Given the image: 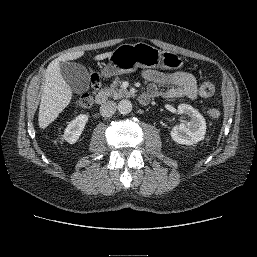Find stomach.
<instances>
[{"label": "stomach", "instance_id": "0dacf381", "mask_svg": "<svg viewBox=\"0 0 257 257\" xmlns=\"http://www.w3.org/2000/svg\"><path fill=\"white\" fill-rule=\"evenodd\" d=\"M183 59L175 53L161 51L146 43L123 44L117 47L109 57L102 73L104 76L131 73L141 68L164 67L180 69Z\"/></svg>", "mask_w": 257, "mask_h": 257}]
</instances>
